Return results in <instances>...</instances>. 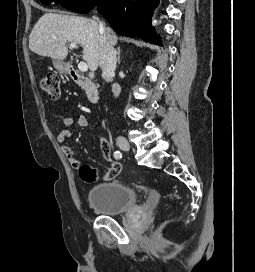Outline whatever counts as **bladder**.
<instances>
[{
	"label": "bladder",
	"mask_w": 255,
	"mask_h": 272,
	"mask_svg": "<svg viewBox=\"0 0 255 272\" xmlns=\"http://www.w3.org/2000/svg\"><path fill=\"white\" fill-rule=\"evenodd\" d=\"M90 206L100 215L118 216L138 203L136 191L120 182H106L94 186L87 193Z\"/></svg>",
	"instance_id": "bladder-1"
}]
</instances>
